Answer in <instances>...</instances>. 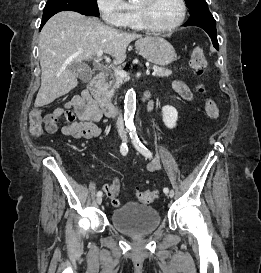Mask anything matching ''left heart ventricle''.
I'll return each mask as SVG.
<instances>
[{
  "label": "left heart ventricle",
  "mask_w": 261,
  "mask_h": 273,
  "mask_svg": "<svg viewBox=\"0 0 261 273\" xmlns=\"http://www.w3.org/2000/svg\"><path fill=\"white\" fill-rule=\"evenodd\" d=\"M150 14L156 26L169 27L178 21L181 7L178 0H154L150 8Z\"/></svg>",
  "instance_id": "left-heart-ventricle-1"
}]
</instances>
